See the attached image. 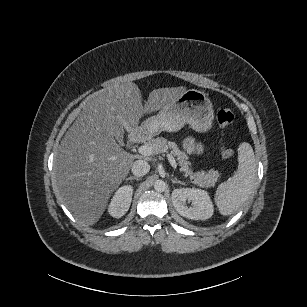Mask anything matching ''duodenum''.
Segmentation results:
<instances>
[{
  "mask_svg": "<svg viewBox=\"0 0 307 307\" xmlns=\"http://www.w3.org/2000/svg\"><path fill=\"white\" fill-rule=\"evenodd\" d=\"M147 138L148 134L145 131L138 129L129 136L128 144L133 145L137 143H142L146 141Z\"/></svg>",
  "mask_w": 307,
  "mask_h": 307,
  "instance_id": "410a0bca",
  "label": "duodenum"
}]
</instances>
